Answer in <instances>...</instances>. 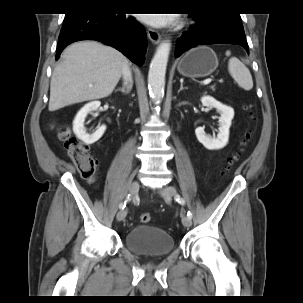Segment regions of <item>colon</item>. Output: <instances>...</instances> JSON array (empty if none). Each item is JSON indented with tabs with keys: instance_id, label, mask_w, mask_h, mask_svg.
Returning a JSON list of instances; mask_svg holds the SVG:
<instances>
[{
	"instance_id": "5ec220e1",
	"label": "colon",
	"mask_w": 303,
	"mask_h": 303,
	"mask_svg": "<svg viewBox=\"0 0 303 303\" xmlns=\"http://www.w3.org/2000/svg\"><path fill=\"white\" fill-rule=\"evenodd\" d=\"M52 128L59 132L68 155L77 165L81 176L90 182L95 181L98 172L97 158L89 153L88 147L84 143L80 142L68 128L58 126H52ZM250 137V134H248L246 139L248 140ZM150 220V213L146 212L140 215L141 223H147Z\"/></svg>"
}]
</instances>
